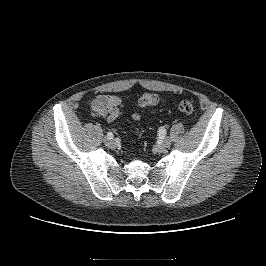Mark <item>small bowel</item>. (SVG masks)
I'll list each match as a JSON object with an SVG mask.
<instances>
[{
  "mask_svg": "<svg viewBox=\"0 0 266 266\" xmlns=\"http://www.w3.org/2000/svg\"><path fill=\"white\" fill-rule=\"evenodd\" d=\"M89 107L93 112L108 121H114L122 115L123 102L117 95L101 94L90 102ZM132 118L136 121L140 120V115L134 113Z\"/></svg>",
  "mask_w": 266,
  "mask_h": 266,
  "instance_id": "c3829d8e",
  "label": "small bowel"
}]
</instances>
